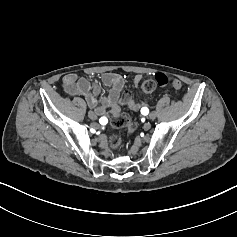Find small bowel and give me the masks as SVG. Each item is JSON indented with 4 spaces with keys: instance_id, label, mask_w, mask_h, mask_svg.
Instances as JSON below:
<instances>
[{
    "instance_id": "small-bowel-1",
    "label": "small bowel",
    "mask_w": 237,
    "mask_h": 237,
    "mask_svg": "<svg viewBox=\"0 0 237 237\" xmlns=\"http://www.w3.org/2000/svg\"><path fill=\"white\" fill-rule=\"evenodd\" d=\"M140 80L141 76L137 75L134 78V83L138 84ZM175 81L179 84L174 86V88H179L180 82L178 80ZM101 82L103 85L109 87V92L103 98H100L101 87L97 82H90L77 74L71 73L65 75L62 80V85L68 95L84 97L92 109L90 112L96 116H105L116 109L121 99L124 103H127L130 108H139L140 104L133 100L129 93L125 92L123 96H121L124 86L122 76L111 72L104 73L101 76Z\"/></svg>"
}]
</instances>
